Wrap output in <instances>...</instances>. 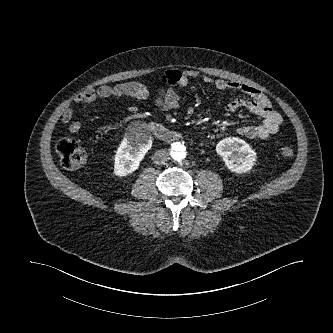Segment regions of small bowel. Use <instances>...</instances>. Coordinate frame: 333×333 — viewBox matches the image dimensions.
Segmentation results:
<instances>
[{
  "label": "small bowel",
  "mask_w": 333,
  "mask_h": 333,
  "mask_svg": "<svg viewBox=\"0 0 333 333\" xmlns=\"http://www.w3.org/2000/svg\"><path fill=\"white\" fill-rule=\"evenodd\" d=\"M198 76L199 72L194 69L184 71L170 70L164 73L161 78L159 92L155 98V106L163 111L177 109L180 105L177 89L186 87L190 79ZM202 80L220 91H239L249 97V99H234L226 107L228 113H235L245 109L260 117L259 123L241 126L238 129L240 135L250 139H266L279 131L283 122L282 116L273 109L268 98L260 90L237 81L214 79L210 76H203ZM148 96L149 90L145 85L136 81H130L115 86L105 85L97 89L85 90L76 95L74 102L94 103L99 100L118 97H132L143 100L148 98ZM72 118L73 109L69 107L62 115V123L69 124L71 132H78L82 124L79 121H72Z\"/></svg>",
  "instance_id": "small-bowel-1"
}]
</instances>
